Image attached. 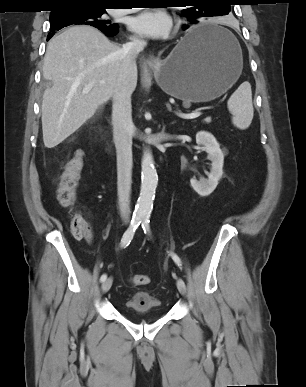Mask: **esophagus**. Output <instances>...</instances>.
Segmentation results:
<instances>
[{
	"instance_id": "1",
	"label": "esophagus",
	"mask_w": 306,
	"mask_h": 387,
	"mask_svg": "<svg viewBox=\"0 0 306 387\" xmlns=\"http://www.w3.org/2000/svg\"><path fill=\"white\" fill-rule=\"evenodd\" d=\"M158 58L157 57H155L154 55H149L148 56V58H147V63L149 64V65H156L157 63H158Z\"/></svg>"
}]
</instances>
